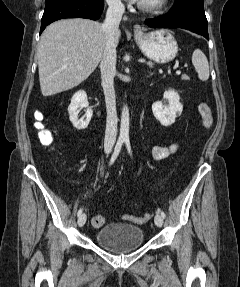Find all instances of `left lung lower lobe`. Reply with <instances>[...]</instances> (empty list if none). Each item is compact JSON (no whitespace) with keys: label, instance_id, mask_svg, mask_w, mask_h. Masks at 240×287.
<instances>
[{"label":"left lung lower lobe","instance_id":"1","mask_svg":"<svg viewBox=\"0 0 240 287\" xmlns=\"http://www.w3.org/2000/svg\"><path fill=\"white\" fill-rule=\"evenodd\" d=\"M145 23L152 28H183L209 39L203 0H176L167 14Z\"/></svg>","mask_w":240,"mask_h":287}]
</instances>
